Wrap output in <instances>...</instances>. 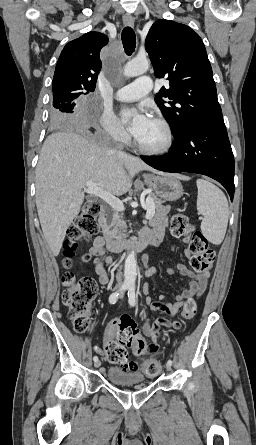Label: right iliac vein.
Returning a JSON list of instances; mask_svg holds the SVG:
<instances>
[{
    "label": "right iliac vein",
    "mask_w": 256,
    "mask_h": 445,
    "mask_svg": "<svg viewBox=\"0 0 256 445\" xmlns=\"http://www.w3.org/2000/svg\"><path fill=\"white\" fill-rule=\"evenodd\" d=\"M94 365L96 368H99L101 366V361L97 360Z\"/></svg>",
    "instance_id": "right-iliac-vein-1"
}]
</instances>
